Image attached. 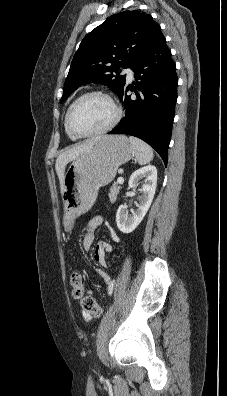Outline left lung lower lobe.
Masks as SVG:
<instances>
[{
    "label": "left lung lower lobe",
    "mask_w": 227,
    "mask_h": 396,
    "mask_svg": "<svg viewBox=\"0 0 227 396\" xmlns=\"http://www.w3.org/2000/svg\"><path fill=\"white\" fill-rule=\"evenodd\" d=\"M137 88H131L136 98L127 95L125 87L118 97L125 108V116L108 134H128L138 137L168 160V148L177 101L178 78L171 51L162 36L152 44L131 67ZM138 84V85H137Z\"/></svg>",
    "instance_id": "left-lung-lower-lobe-1"
}]
</instances>
